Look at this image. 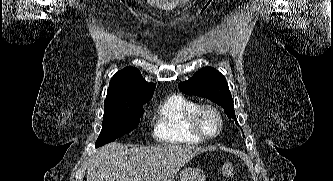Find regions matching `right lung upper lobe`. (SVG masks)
I'll list each match as a JSON object with an SVG mask.
<instances>
[{
    "label": "right lung upper lobe",
    "mask_w": 333,
    "mask_h": 181,
    "mask_svg": "<svg viewBox=\"0 0 333 181\" xmlns=\"http://www.w3.org/2000/svg\"><path fill=\"white\" fill-rule=\"evenodd\" d=\"M156 85L147 83L135 67H126L117 72L110 81L104 110L148 102L154 93Z\"/></svg>",
    "instance_id": "obj_1"
}]
</instances>
